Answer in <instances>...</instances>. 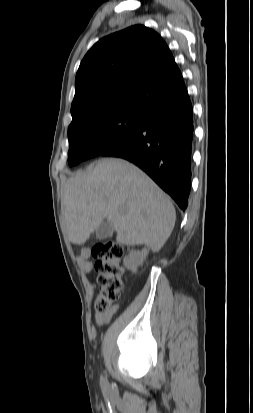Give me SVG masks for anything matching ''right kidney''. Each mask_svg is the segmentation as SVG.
Returning a JSON list of instances; mask_svg holds the SVG:
<instances>
[{
	"instance_id": "ca27d5eb",
	"label": "right kidney",
	"mask_w": 253,
	"mask_h": 413,
	"mask_svg": "<svg viewBox=\"0 0 253 413\" xmlns=\"http://www.w3.org/2000/svg\"><path fill=\"white\" fill-rule=\"evenodd\" d=\"M148 256V249L144 248L141 251H131L123 260L125 267L133 273L137 271L139 266H142Z\"/></svg>"
}]
</instances>
